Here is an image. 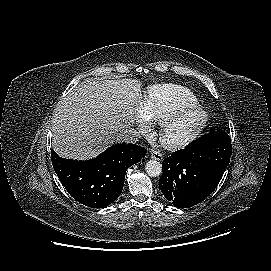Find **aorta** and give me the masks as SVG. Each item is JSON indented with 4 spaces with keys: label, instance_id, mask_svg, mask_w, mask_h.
I'll return each mask as SVG.
<instances>
[{
    "label": "aorta",
    "instance_id": "obj_1",
    "mask_svg": "<svg viewBox=\"0 0 271 271\" xmlns=\"http://www.w3.org/2000/svg\"><path fill=\"white\" fill-rule=\"evenodd\" d=\"M145 170L149 176L156 177L162 173V165L157 160H149L145 165Z\"/></svg>",
    "mask_w": 271,
    "mask_h": 271
}]
</instances>
